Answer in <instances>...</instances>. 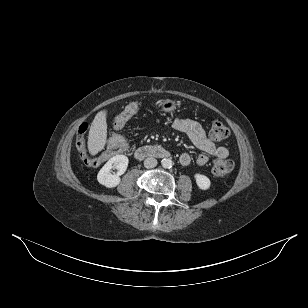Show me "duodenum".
Returning <instances> with one entry per match:
<instances>
[{
	"label": "duodenum",
	"instance_id": "duodenum-1",
	"mask_svg": "<svg viewBox=\"0 0 308 308\" xmlns=\"http://www.w3.org/2000/svg\"><path fill=\"white\" fill-rule=\"evenodd\" d=\"M134 156L136 159L146 157L167 158L170 156V152L161 146H143L136 149Z\"/></svg>",
	"mask_w": 308,
	"mask_h": 308
}]
</instances>
